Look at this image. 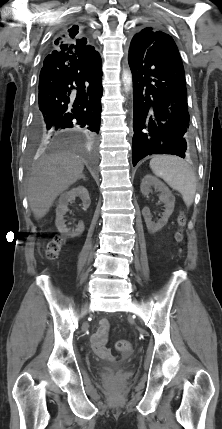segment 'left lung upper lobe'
I'll list each match as a JSON object with an SVG mask.
<instances>
[{
    "label": "left lung upper lobe",
    "instance_id": "left-lung-upper-lobe-1",
    "mask_svg": "<svg viewBox=\"0 0 222 429\" xmlns=\"http://www.w3.org/2000/svg\"><path fill=\"white\" fill-rule=\"evenodd\" d=\"M163 34L165 33L162 31H159L156 28L147 27L140 30L137 34L134 35V37L132 38L131 44L138 43V42L145 44L152 40L159 41L157 37H162Z\"/></svg>",
    "mask_w": 222,
    "mask_h": 429
}]
</instances>
